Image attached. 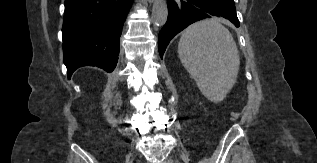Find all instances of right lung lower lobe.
<instances>
[{
    "label": "right lung lower lobe",
    "mask_w": 317,
    "mask_h": 163,
    "mask_svg": "<svg viewBox=\"0 0 317 163\" xmlns=\"http://www.w3.org/2000/svg\"><path fill=\"white\" fill-rule=\"evenodd\" d=\"M133 0H65L62 27L68 78L82 66L112 72L123 24Z\"/></svg>",
    "instance_id": "obj_1"
}]
</instances>
